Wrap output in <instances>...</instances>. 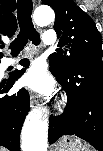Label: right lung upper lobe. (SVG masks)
<instances>
[{
  "mask_svg": "<svg viewBox=\"0 0 103 151\" xmlns=\"http://www.w3.org/2000/svg\"><path fill=\"white\" fill-rule=\"evenodd\" d=\"M14 11L15 0H0V43L1 36L11 37L15 34L17 21Z\"/></svg>",
  "mask_w": 103,
  "mask_h": 151,
  "instance_id": "1",
  "label": "right lung upper lobe"
}]
</instances>
